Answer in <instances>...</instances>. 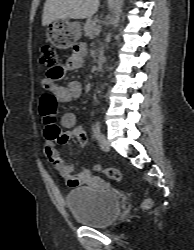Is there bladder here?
Wrapping results in <instances>:
<instances>
[{
  "mask_svg": "<svg viewBox=\"0 0 194 250\" xmlns=\"http://www.w3.org/2000/svg\"><path fill=\"white\" fill-rule=\"evenodd\" d=\"M65 200L78 224L95 228L109 226L122 207V201L117 192L98 190L90 186L70 190Z\"/></svg>",
  "mask_w": 194,
  "mask_h": 250,
  "instance_id": "1",
  "label": "bladder"
}]
</instances>
